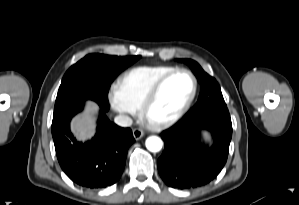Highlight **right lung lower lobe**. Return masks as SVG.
I'll return each mask as SVG.
<instances>
[{"mask_svg":"<svg viewBox=\"0 0 299 205\" xmlns=\"http://www.w3.org/2000/svg\"><path fill=\"white\" fill-rule=\"evenodd\" d=\"M100 106L97 132L87 143L78 142L70 131V121L84 107L80 101L53 116L52 136L62 170L78 185L90 189L115 184L125 167L129 146L135 141L130 128H121L109 121L105 112L108 102Z\"/></svg>","mask_w":299,"mask_h":205,"instance_id":"obj_1","label":"right lung lower lobe"}]
</instances>
